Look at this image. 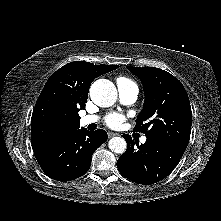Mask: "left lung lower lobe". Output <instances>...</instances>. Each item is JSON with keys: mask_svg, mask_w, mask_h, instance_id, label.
<instances>
[{"mask_svg": "<svg viewBox=\"0 0 221 221\" xmlns=\"http://www.w3.org/2000/svg\"><path fill=\"white\" fill-rule=\"evenodd\" d=\"M122 137L128 147L119 157L117 168L127 179L143 185L153 184L169 175L185 152L159 139L147 138L139 145L130 135Z\"/></svg>", "mask_w": 221, "mask_h": 221, "instance_id": "left-lung-lower-lobe-1", "label": "left lung lower lobe"}]
</instances>
